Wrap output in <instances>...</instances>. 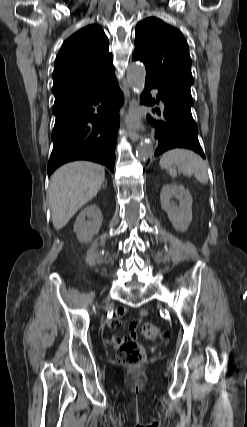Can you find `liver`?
Here are the masks:
<instances>
[{
	"instance_id": "obj_1",
	"label": "liver",
	"mask_w": 247,
	"mask_h": 427,
	"mask_svg": "<svg viewBox=\"0 0 247 427\" xmlns=\"http://www.w3.org/2000/svg\"><path fill=\"white\" fill-rule=\"evenodd\" d=\"M104 180V168L88 161L71 162L57 169L51 176L48 192L54 228H63L97 195Z\"/></svg>"
}]
</instances>
